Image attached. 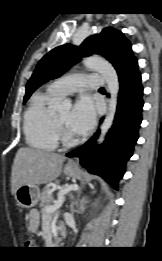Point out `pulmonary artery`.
<instances>
[{"label":"pulmonary artery","mask_w":162,"mask_h":261,"mask_svg":"<svg viewBox=\"0 0 162 261\" xmlns=\"http://www.w3.org/2000/svg\"><path fill=\"white\" fill-rule=\"evenodd\" d=\"M102 85L101 75L72 74L51 82L48 90L57 96H65L82 88L99 89Z\"/></svg>","instance_id":"obj_1"}]
</instances>
